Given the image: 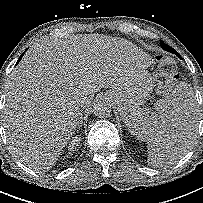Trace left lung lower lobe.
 <instances>
[{"mask_svg":"<svg viewBox=\"0 0 203 203\" xmlns=\"http://www.w3.org/2000/svg\"><path fill=\"white\" fill-rule=\"evenodd\" d=\"M163 48H164V49H166V46H165V45H163ZM166 50H167V49H166Z\"/></svg>","mask_w":203,"mask_h":203,"instance_id":"obj_1","label":"left lung lower lobe"}]
</instances>
